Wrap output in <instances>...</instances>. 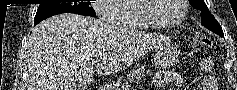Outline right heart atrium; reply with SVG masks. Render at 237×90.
I'll use <instances>...</instances> for the list:
<instances>
[{"label":"right heart atrium","mask_w":237,"mask_h":90,"mask_svg":"<svg viewBox=\"0 0 237 90\" xmlns=\"http://www.w3.org/2000/svg\"><path fill=\"white\" fill-rule=\"evenodd\" d=\"M122 0H97V2H92L90 10L93 12H98L100 20H112V17L109 13L110 8H105V6H115L116 3H121Z\"/></svg>","instance_id":"d8ad5b80"}]
</instances>
